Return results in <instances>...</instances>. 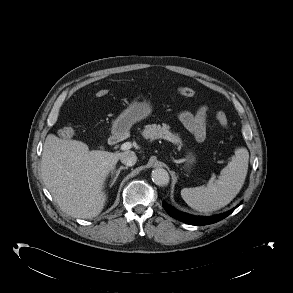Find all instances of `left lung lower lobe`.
<instances>
[{"mask_svg": "<svg viewBox=\"0 0 293 293\" xmlns=\"http://www.w3.org/2000/svg\"><path fill=\"white\" fill-rule=\"evenodd\" d=\"M162 205L170 216L190 225H206V224L218 222L224 219L225 217H227L229 214H231L239 206L238 205L232 210L223 214L210 216V217H200V216H193V215L180 212L176 210L175 208H173L172 206L168 205L165 201L162 203Z\"/></svg>", "mask_w": 293, "mask_h": 293, "instance_id": "obj_1", "label": "left lung lower lobe"}]
</instances>
